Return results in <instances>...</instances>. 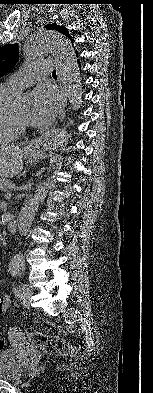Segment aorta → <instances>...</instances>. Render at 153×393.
I'll use <instances>...</instances> for the list:
<instances>
[{
    "mask_svg": "<svg viewBox=\"0 0 153 393\" xmlns=\"http://www.w3.org/2000/svg\"><path fill=\"white\" fill-rule=\"evenodd\" d=\"M23 56L26 59H37L52 54L56 63L57 76L62 83L67 98L74 110L82 106V85L79 66L72 44L60 33L51 30H41L29 36L23 45ZM27 104L26 97H18L12 104L15 110ZM66 139V134L60 129H52L46 132L42 138V144L48 147H57ZM41 193L35 192L30 195L18 217V231L26 235L38 210ZM25 259L17 254L10 263L14 274L22 271Z\"/></svg>",
    "mask_w": 153,
    "mask_h": 393,
    "instance_id": "obj_1",
    "label": "aorta"
}]
</instances>
